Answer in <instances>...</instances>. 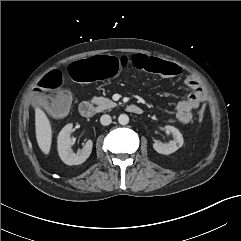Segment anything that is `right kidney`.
Segmentation results:
<instances>
[{
	"label": "right kidney",
	"instance_id": "ca27d5eb",
	"mask_svg": "<svg viewBox=\"0 0 241 241\" xmlns=\"http://www.w3.org/2000/svg\"><path fill=\"white\" fill-rule=\"evenodd\" d=\"M73 125L67 124L59 133L58 136V153L61 160L67 165H79L84 163L90 156L93 142L88 140L82 150L74 153L72 145L74 141L71 139Z\"/></svg>",
	"mask_w": 241,
	"mask_h": 241
}]
</instances>
